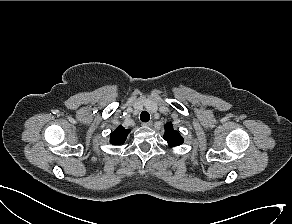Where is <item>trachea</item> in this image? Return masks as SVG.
<instances>
[{
  "label": "trachea",
  "instance_id": "1",
  "mask_svg": "<svg viewBox=\"0 0 292 224\" xmlns=\"http://www.w3.org/2000/svg\"><path fill=\"white\" fill-rule=\"evenodd\" d=\"M140 120L142 122H148L150 120V114L147 112V111H143L141 114H140Z\"/></svg>",
  "mask_w": 292,
  "mask_h": 224
}]
</instances>
